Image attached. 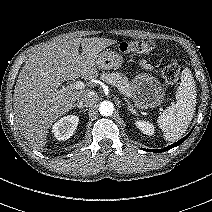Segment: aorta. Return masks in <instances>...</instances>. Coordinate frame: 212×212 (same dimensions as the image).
<instances>
[{
  "label": "aorta",
  "mask_w": 212,
  "mask_h": 212,
  "mask_svg": "<svg viewBox=\"0 0 212 212\" xmlns=\"http://www.w3.org/2000/svg\"><path fill=\"white\" fill-rule=\"evenodd\" d=\"M114 105L110 101H103L99 105V112L102 116H110L113 113Z\"/></svg>",
  "instance_id": "obj_1"
}]
</instances>
